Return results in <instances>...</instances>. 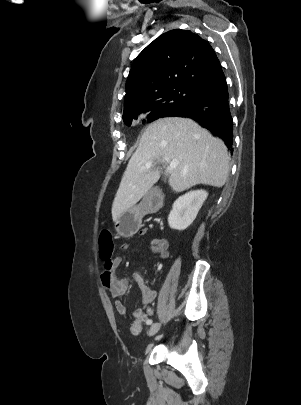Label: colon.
Segmentation results:
<instances>
[{"instance_id": "1", "label": "colon", "mask_w": 301, "mask_h": 405, "mask_svg": "<svg viewBox=\"0 0 301 405\" xmlns=\"http://www.w3.org/2000/svg\"><path fill=\"white\" fill-rule=\"evenodd\" d=\"M98 245L101 259L106 265H110L113 255V241L111 233L108 230L101 231L98 239ZM134 329L138 330L139 327L135 326Z\"/></svg>"}]
</instances>
